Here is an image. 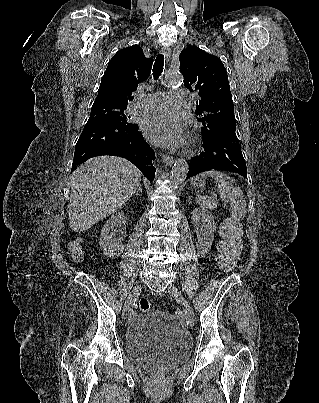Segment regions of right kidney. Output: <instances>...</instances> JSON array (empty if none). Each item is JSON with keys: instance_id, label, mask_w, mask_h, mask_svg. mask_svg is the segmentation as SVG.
<instances>
[{"instance_id": "obj_1", "label": "right kidney", "mask_w": 319, "mask_h": 403, "mask_svg": "<svg viewBox=\"0 0 319 403\" xmlns=\"http://www.w3.org/2000/svg\"><path fill=\"white\" fill-rule=\"evenodd\" d=\"M126 218L124 214L117 213L106 222L101 230L99 245L104 254L109 258L118 257L124 250L122 244L123 236L116 235L113 231L115 226L126 224Z\"/></svg>"}]
</instances>
